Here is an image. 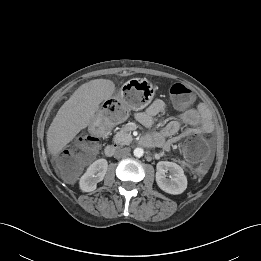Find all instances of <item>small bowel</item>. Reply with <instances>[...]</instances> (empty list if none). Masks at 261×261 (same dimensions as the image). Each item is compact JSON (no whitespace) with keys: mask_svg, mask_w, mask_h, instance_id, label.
<instances>
[{"mask_svg":"<svg viewBox=\"0 0 261 261\" xmlns=\"http://www.w3.org/2000/svg\"><path fill=\"white\" fill-rule=\"evenodd\" d=\"M167 111L165 102L161 99L154 100L150 106L136 114L139 123L147 128L155 125L156 117ZM181 120L187 127L183 129L179 121H170L164 128L151 136L154 145L169 151L172 145L182 137L194 136L197 134H209L213 131V121L204 106L191 108L182 113Z\"/></svg>","mask_w":261,"mask_h":261,"instance_id":"obj_1","label":"small bowel"}]
</instances>
